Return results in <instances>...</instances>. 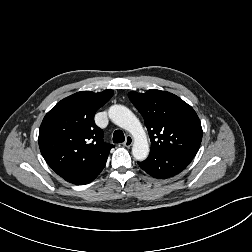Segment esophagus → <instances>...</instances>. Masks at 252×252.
Here are the masks:
<instances>
[{
	"instance_id": "34e87169",
	"label": "esophagus",
	"mask_w": 252,
	"mask_h": 252,
	"mask_svg": "<svg viewBox=\"0 0 252 252\" xmlns=\"http://www.w3.org/2000/svg\"><path fill=\"white\" fill-rule=\"evenodd\" d=\"M132 144H133V138H132V136L128 135V136L126 137V140H125V142L123 143V145H124L125 147H130Z\"/></svg>"
}]
</instances>
